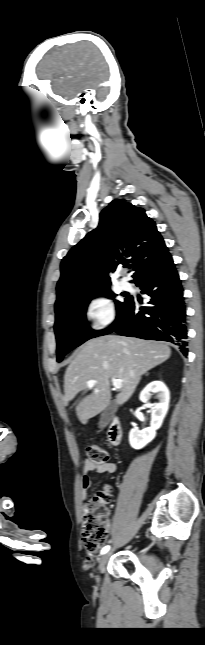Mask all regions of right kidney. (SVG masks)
Segmentation results:
<instances>
[{
	"label": "right kidney",
	"instance_id": "right-kidney-1",
	"mask_svg": "<svg viewBox=\"0 0 205 645\" xmlns=\"http://www.w3.org/2000/svg\"><path fill=\"white\" fill-rule=\"evenodd\" d=\"M152 394H157L158 402L150 404ZM140 401L150 408L151 423L150 427L138 430L137 427L131 429L129 433V443L134 449H141L156 436V430L159 429L167 414L169 408L170 394L167 386L161 381H153L148 384L140 393Z\"/></svg>",
	"mask_w": 205,
	"mask_h": 645
}]
</instances>
